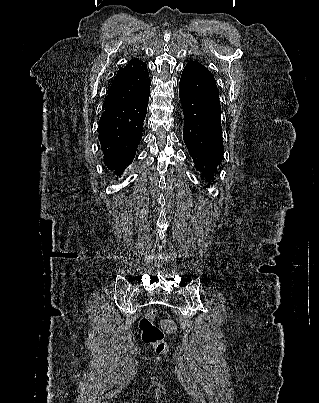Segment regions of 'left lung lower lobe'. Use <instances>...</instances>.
<instances>
[{
  "label": "left lung lower lobe",
  "mask_w": 319,
  "mask_h": 403,
  "mask_svg": "<svg viewBox=\"0 0 319 403\" xmlns=\"http://www.w3.org/2000/svg\"><path fill=\"white\" fill-rule=\"evenodd\" d=\"M184 111L183 139L201 177L210 180L223 158L221 107L214 76L186 65L179 83Z\"/></svg>",
  "instance_id": "1"
}]
</instances>
